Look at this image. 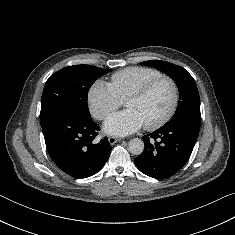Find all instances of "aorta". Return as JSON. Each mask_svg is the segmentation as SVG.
Masks as SVG:
<instances>
[{"label": "aorta", "mask_w": 235, "mask_h": 235, "mask_svg": "<svg viewBox=\"0 0 235 235\" xmlns=\"http://www.w3.org/2000/svg\"><path fill=\"white\" fill-rule=\"evenodd\" d=\"M128 149L133 155H140L144 150V142L139 138H133L128 143Z\"/></svg>", "instance_id": "1"}]
</instances>
